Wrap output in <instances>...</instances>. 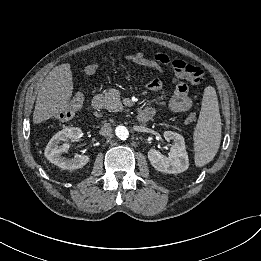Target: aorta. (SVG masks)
Returning <instances> with one entry per match:
<instances>
[{
	"label": "aorta",
	"mask_w": 261,
	"mask_h": 261,
	"mask_svg": "<svg viewBox=\"0 0 261 261\" xmlns=\"http://www.w3.org/2000/svg\"><path fill=\"white\" fill-rule=\"evenodd\" d=\"M115 134L121 140H126L129 137L128 129L122 125L116 127Z\"/></svg>",
	"instance_id": "1"
}]
</instances>
